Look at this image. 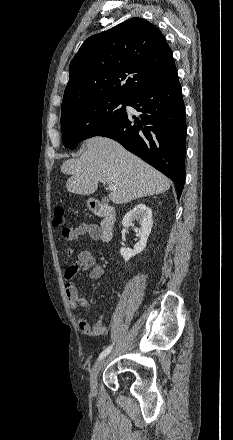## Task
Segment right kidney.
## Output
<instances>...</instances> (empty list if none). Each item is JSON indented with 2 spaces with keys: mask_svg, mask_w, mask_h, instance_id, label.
I'll list each match as a JSON object with an SVG mask.
<instances>
[{
  "mask_svg": "<svg viewBox=\"0 0 233 440\" xmlns=\"http://www.w3.org/2000/svg\"><path fill=\"white\" fill-rule=\"evenodd\" d=\"M134 219L140 223V228L134 227ZM152 224V210L143 203L136 205L132 210L126 213L122 220V225L124 227H133L140 240L135 244L134 249L125 247L120 249V254L125 262L145 249L148 237L151 233Z\"/></svg>",
  "mask_w": 233,
  "mask_h": 440,
  "instance_id": "1",
  "label": "right kidney"
}]
</instances>
